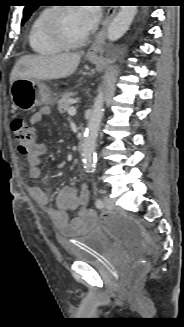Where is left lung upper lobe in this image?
I'll list each match as a JSON object with an SVG mask.
<instances>
[{"label":"left lung upper lobe","mask_w":184,"mask_h":327,"mask_svg":"<svg viewBox=\"0 0 184 327\" xmlns=\"http://www.w3.org/2000/svg\"><path fill=\"white\" fill-rule=\"evenodd\" d=\"M24 8V14L22 19V25L28 20L32 12L38 8L37 0H27Z\"/></svg>","instance_id":"left-lung-upper-lobe-1"}]
</instances>
